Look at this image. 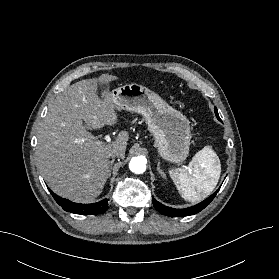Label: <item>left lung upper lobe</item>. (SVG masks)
<instances>
[{"mask_svg": "<svg viewBox=\"0 0 279 279\" xmlns=\"http://www.w3.org/2000/svg\"><path fill=\"white\" fill-rule=\"evenodd\" d=\"M214 110H215V114H216V116H218V117H219V115H218V111H217V108H215Z\"/></svg>", "mask_w": 279, "mask_h": 279, "instance_id": "1", "label": "left lung upper lobe"}]
</instances>
